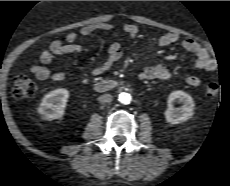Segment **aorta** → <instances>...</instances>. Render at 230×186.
Returning a JSON list of instances; mask_svg holds the SVG:
<instances>
[{
	"instance_id": "aorta-1",
	"label": "aorta",
	"mask_w": 230,
	"mask_h": 186,
	"mask_svg": "<svg viewBox=\"0 0 230 186\" xmlns=\"http://www.w3.org/2000/svg\"><path fill=\"white\" fill-rule=\"evenodd\" d=\"M118 100L122 103V104H130L132 97L129 93L127 92H122L119 94Z\"/></svg>"
}]
</instances>
